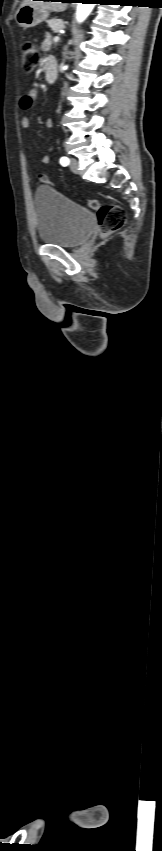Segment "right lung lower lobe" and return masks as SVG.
<instances>
[{
	"mask_svg": "<svg viewBox=\"0 0 162 851\" xmlns=\"http://www.w3.org/2000/svg\"><path fill=\"white\" fill-rule=\"evenodd\" d=\"M43 1H53V0H43ZM64 2V1H63Z\"/></svg>",
	"mask_w": 162,
	"mask_h": 851,
	"instance_id": "98d812e1",
	"label": "right lung lower lobe"
}]
</instances>
